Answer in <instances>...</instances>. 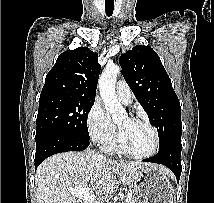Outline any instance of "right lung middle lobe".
I'll use <instances>...</instances> for the list:
<instances>
[{
	"instance_id": "1",
	"label": "right lung middle lobe",
	"mask_w": 214,
	"mask_h": 203,
	"mask_svg": "<svg viewBox=\"0 0 214 203\" xmlns=\"http://www.w3.org/2000/svg\"><path fill=\"white\" fill-rule=\"evenodd\" d=\"M94 101L61 96L39 99L35 140L62 134L89 141L87 118Z\"/></svg>"
}]
</instances>
